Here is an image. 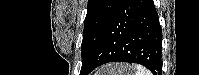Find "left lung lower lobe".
Here are the masks:
<instances>
[{"mask_svg": "<svg viewBox=\"0 0 199 75\" xmlns=\"http://www.w3.org/2000/svg\"><path fill=\"white\" fill-rule=\"evenodd\" d=\"M162 30L153 0H123L81 75L109 62L138 63L162 74Z\"/></svg>", "mask_w": 199, "mask_h": 75, "instance_id": "left-lung-lower-lobe-1", "label": "left lung lower lobe"}]
</instances>
